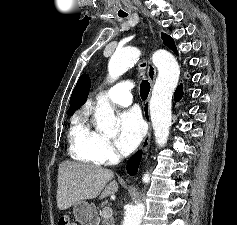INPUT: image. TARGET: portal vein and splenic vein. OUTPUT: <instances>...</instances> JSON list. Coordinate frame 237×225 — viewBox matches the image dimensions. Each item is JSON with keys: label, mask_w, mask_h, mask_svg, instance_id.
<instances>
[{"label": "portal vein and splenic vein", "mask_w": 237, "mask_h": 225, "mask_svg": "<svg viewBox=\"0 0 237 225\" xmlns=\"http://www.w3.org/2000/svg\"><path fill=\"white\" fill-rule=\"evenodd\" d=\"M102 212H103L104 217L106 218L112 217L113 211L110 207H105Z\"/></svg>", "instance_id": "obj_1"}]
</instances>
